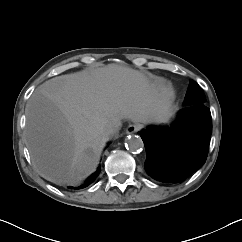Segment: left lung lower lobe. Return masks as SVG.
Here are the masks:
<instances>
[{
	"mask_svg": "<svg viewBox=\"0 0 242 242\" xmlns=\"http://www.w3.org/2000/svg\"><path fill=\"white\" fill-rule=\"evenodd\" d=\"M211 130V113L203 104L181 109L171 129H143L140 136L146 149L148 175L166 183L184 181L205 163Z\"/></svg>",
	"mask_w": 242,
	"mask_h": 242,
	"instance_id": "left-lung-lower-lobe-1",
	"label": "left lung lower lobe"
}]
</instances>
